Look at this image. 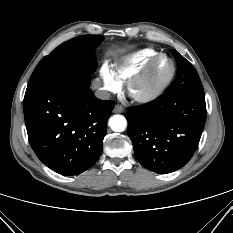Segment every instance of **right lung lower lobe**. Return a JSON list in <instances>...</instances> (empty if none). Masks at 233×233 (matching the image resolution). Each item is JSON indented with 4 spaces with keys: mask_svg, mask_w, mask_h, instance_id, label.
I'll return each mask as SVG.
<instances>
[{
    "mask_svg": "<svg viewBox=\"0 0 233 233\" xmlns=\"http://www.w3.org/2000/svg\"><path fill=\"white\" fill-rule=\"evenodd\" d=\"M90 75L67 77L24 97L28 139L37 157L62 175H76L99 158L114 108L89 88Z\"/></svg>",
    "mask_w": 233,
    "mask_h": 233,
    "instance_id": "right-lung-lower-lobe-1",
    "label": "right lung lower lobe"
}]
</instances>
